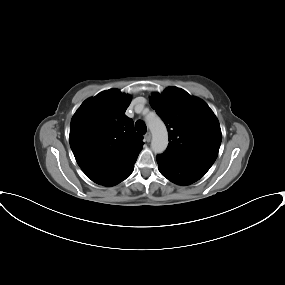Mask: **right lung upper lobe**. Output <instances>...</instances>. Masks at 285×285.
Here are the masks:
<instances>
[{"instance_id": "right-lung-upper-lobe-1", "label": "right lung upper lobe", "mask_w": 285, "mask_h": 285, "mask_svg": "<svg viewBox=\"0 0 285 285\" xmlns=\"http://www.w3.org/2000/svg\"><path fill=\"white\" fill-rule=\"evenodd\" d=\"M131 96L110 89L85 100L70 124V147L83 172L107 185L133 164L144 142L125 115Z\"/></svg>"}]
</instances>
